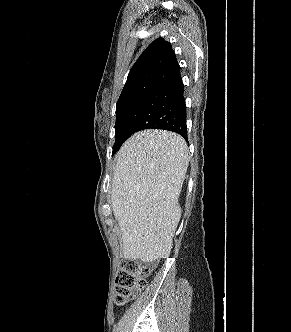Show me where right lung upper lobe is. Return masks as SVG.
Segmentation results:
<instances>
[{"mask_svg":"<svg viewBox=\"0 0 291 332\" xmlns=\"http://www.w3.org/2000/svg\"><path fill=\"white\" fill-rule=\"evenodd\" d=\"M179 74L180 67L171 44L158 38L144 50L131 68L118 100L139 93H150Z\"/></svg>","mask_w":291,"mask_h":332,"instance_id":"cb5924a9","label":"right lung upper lobe"}]
</instances>
